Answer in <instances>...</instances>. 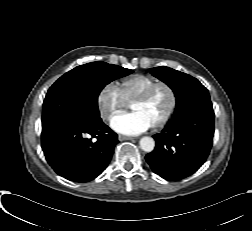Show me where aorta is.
Masks as SVG:
<instances>
[{"label": "aorta", "instance_id": "aorta-1", "mask_svg": "<svg viewBox=\"0 0 252 231\" xmlns=\"http://www.w3.org/2000/svg\"><path fill=\"white\" fill-rule=\"evenodd\" d=\"M140 148L145 152H152L155 147V141L152 137L144 136L140 139Z\"/></svg>", "mask_w": 252, "mask_h": 231}]
</instances>
